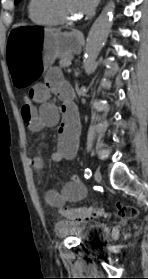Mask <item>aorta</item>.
Instances as JSON below:
<instances>
[{
  "label": "aorta",
  "mask_w": 148,
  "mask_h": 279,
  "mask_svg": "<svg viewBox=\"0 0 148 279\" xmlns=\"http://www.w3.org/2000/svg\"><path fill=\"white\" fill-rule=\"evenodd\" d=\"M112 19L113 3L110 1L93 23L86 40L84 70L87 74L92 72L95 60L110 33Z\"/></svg>",
  "instance_id": "aorta-1"
}]
</instances>
